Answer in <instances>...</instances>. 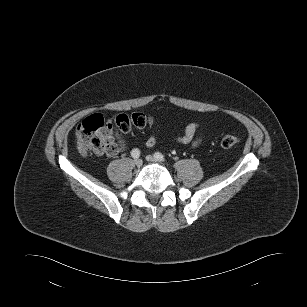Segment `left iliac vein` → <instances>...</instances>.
Masks as SVG:
<instances>
[{
  "instance_id": "left-iliac-vein-1",
  "label": "left iliac vein",
  "mask_w": 307,
  "mask_h": 307,
  "mask_svg": "<svg viewBox=\"0 0 307 307\" xmlns=\"http://www.w3.org/2000/svg\"><path fill=\"white\" fill-rule=\"evenodd\" d=\"M146 160L149 161V162H158V160L155 157H153L152 155L146 156Z\"/></svg>"
}]
</instances>
